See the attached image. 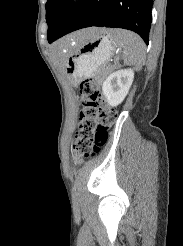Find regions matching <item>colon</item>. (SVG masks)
<instances>
[{"label": "colon", "mask_w": 183, "mask_h": 246, "mask_svg": "<svg viewBox=\"0 0 183 246\" xmlns=\"http://www.w3.org/2000/svg\"><path fill=\"white\" fill-rule=\"evenodd\" d=\"M79 92V129L73 144L76 161L93 156L106 143L117 118L116 111L104 103L95 80H83Z\"/></svg>", "instance_id": "5ec220e1"}]
</instances>
